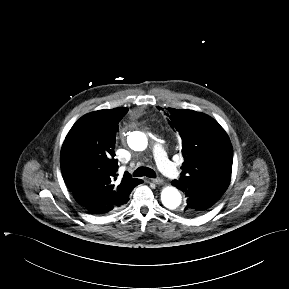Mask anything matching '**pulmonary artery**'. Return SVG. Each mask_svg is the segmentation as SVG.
<instances>
[{"mask_svg":"<svg viewBox=\"0 0 289 289\" xmlns=\"http://www.w3.org/2000/svg\"><path fill=\"white\" fill-rule=\"evenodd\" d=\"M154 157L160 171L169 178L177 179L180 172L168 159L167 154L161 144H156L153 149Z\"/></svg>","mask_w":289,"mask_h":289,"instance_id":"pulmonary-artery-1","label":"pulmonary artery"}]
</instances>
